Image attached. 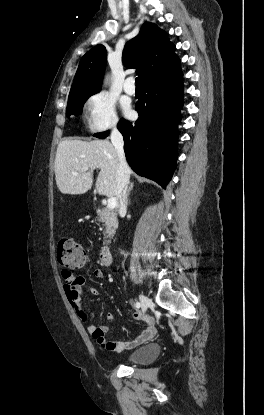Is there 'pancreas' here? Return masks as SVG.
Wrapping results in <instances>:
<instances>
[{"label": "pancreas", "instance_id": "pancreas-1", "mask_svg": "<svg viewBox=\"0 0 264 415\" xmlns=\"http://www.w3.org/2000/svg\"><path fill=\"white\" fill-rule=\"evenodd\" d=\"M99 221L104 223V243H108V238L114 236L118 228L117 214L109 208H102L96 211Z\"/></svg>", "mask_w": 264, "mask_h": 415}]
</instances>
